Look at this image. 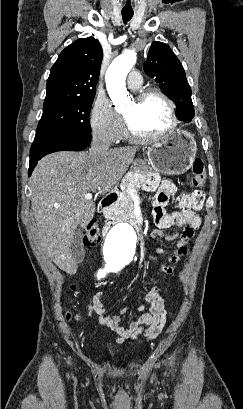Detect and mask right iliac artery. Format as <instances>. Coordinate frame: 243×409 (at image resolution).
<instances>
[{
    "label": "right iliac artery",
    "mask_w": 243,
    "mask_h": 409,
    "mask_svg": "<svg viewBox=\"0 0 243 409\" xmlns=\"http://www.w3.org/2000/svg\"><path fill=\"white\" fill-rule=\"evenodd\" d=\"M109 272H110V270L107 269V268H105V269H100V270L98 271V273H97L98 279L105 277V275H106L107 273H109Z\"/></svg>",
    "instance_id": "82829eb1"
}]
</instances>
